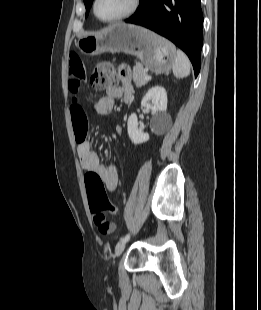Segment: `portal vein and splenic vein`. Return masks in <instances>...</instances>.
I'll list each match as a JSON object with an SVG mask.
<instances>
[{
    "mask_svg": "<svg viewBox=\"0 0 261 310\" xmlns=\"http://www.w3.org/2000/svg\"><path fill=\"white\" fill-rule=\"evenodd\" d=\"M145 79H146V80H150V79H151V76L146 75V76H145Z\"/></svg>",
    "mask_w": 261,
    "mask_h": 310,
    "instance_id": "18ae733b",
    "label": "portal vein and splenic vein"
}]
</instances>
